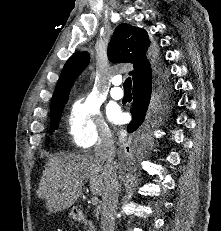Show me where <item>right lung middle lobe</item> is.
Wrapping results in <instances>:
<instances>
[{"instance_id":"1","label":"right lung middle lobe","mask_w":221,"mask_h":231,"mask_svg":"<svg viewBox=\"0 0 221 231\" xmlns=\"http://www.w3.org/2000/svg\"><path fill=\"white\" fill-rule=\"evenodd\" d=\"M67 101L60 103L56 108L52 109L50 112V132L52 133L57 127L62 114V110ZM169 107V99L164 102L155 103L149 112L147 113V119L144 124L139 129V135L143 142H147L151 139V128L155 123L156 115L159 112H163L167 110Z\"/></svg>"}]
</instances>
